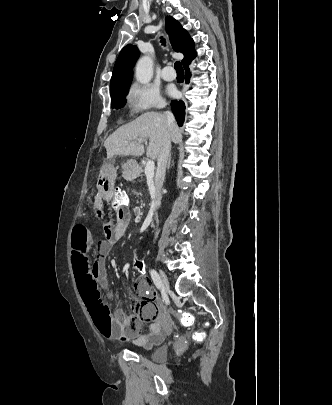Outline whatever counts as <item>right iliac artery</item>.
Wrapping results in <instances>:
<instances>
[{"instance_id":"1","label":"right iliac artery","mask_w":332,"mask_h":405,"mask_svg":"<svg viewBox=\"0 0 332 405\" xmlns=\"http://www.w3.org/2000/svg\"><path fill=\"white\" fill-rule=\"evenodd\" d=\"M150 274H151V278H152L154 284L156 285V287L158 289H160L161 286H162V283H161V280H160V277H159L158 273L155 270H151Z\"/></svg>"}]
</instances>
